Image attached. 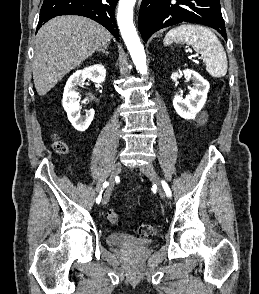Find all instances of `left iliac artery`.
Instances as JSON below:
<instances>
[{"label":"left iliac artery","instance_id":"44dca946","mask_svg":"<svg viewBox=\"0 0 259 294\" xmlns=\"http://www.w3.org/2000/svg\"><path fill=\"white\" fill-rule=\"evenodd\" d=\"M162 186L165 190L167 197H171V190H170L168 184L164 180H162Z\"/></svg>","mask_w":259,"mask_h":294}]
</instances>
